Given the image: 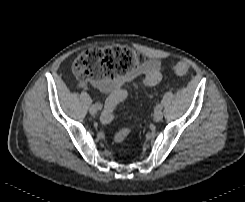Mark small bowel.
<instances>
[{"label": "small bowel", "instance_id": "1", "mask_svg": "<svg viewBox=\"0 0 245 202\" xmlns=\"http://www.w3.org/2000/svg\"><path fill=\"white\" fill-rule=\"evenodd\" d=\"M160 77V61L158 59H147L141 60L131 69L126 81L129 86L121 87L116 81L106 78L80 81L78 86L82 89L93 87L103 93H107L106 105L112 104L115 108L132 91L142 86H154L159 82Z\"/></svg>", "mask_w": 245, "mask_h": 202}]
</instances>
